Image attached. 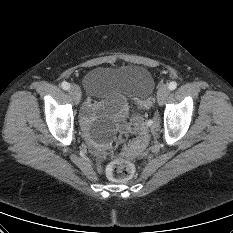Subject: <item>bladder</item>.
Segmentation results:
<instances>
[{"label": "bladder", "instance_id": "obj_1", "mask_svg": "<svg viewBox=\"0 0 233 233\" xmlns=\"http://www.w3.org/2000/svg\"><path fill=\"white\" fill-rule=\"evenodd\" d=\"M86 93L100 100L146 101L153 93L155 81L141 65L119 68L95 67L83 78Z\"/></svg>", "mask_w": 233, "mask_h": 233}]
</instances>
